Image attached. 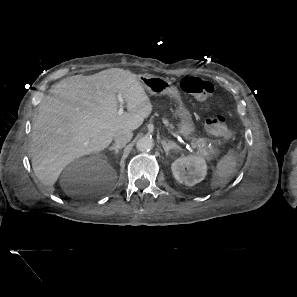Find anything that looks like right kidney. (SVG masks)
<instances>
[{
  "label": "right kidney",
  "instance_id": "obj_1",
  "mask_svg": "<svg viewBox=\"0 0 297 297\" xmlns=\"http://www.w3.org/2000/svg\"><path fill=\"white\" fill-rule=\"evenodd\" d=\"M102 155H98L97 157H101Z\"/></svg>",
  "mask_w": 297,
  "mask_h": 297
}]
</instances>
